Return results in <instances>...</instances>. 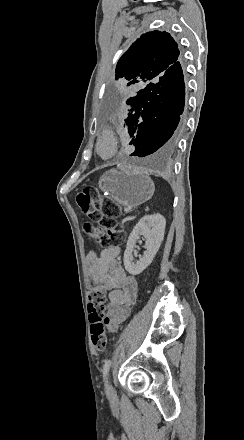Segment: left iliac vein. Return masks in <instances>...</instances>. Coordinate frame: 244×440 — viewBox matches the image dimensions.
<instances>
[{"instance_id":"obj_1","label":"left iliac vein","mask_w":244,"mask_h":440,"mask_svg":"<svg viewBox=\"0 0 244 440\" xmlns=\"http://www.w3.org/2000/svg\"><path fill=\"white\" fill-rule=\"evenodd\" d=\"M107 389H108L109 400L112 401L113 399H115L116 392H115V389L113 388V386H112V384L110 382H108Z\"/></svg>"}]
</instances>
